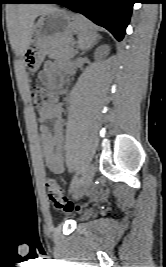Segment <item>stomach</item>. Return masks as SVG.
<instances>
[{
	"instance_id": "obj_1",
	"label": "stomach",
	"mask_w": 166,
	"mask_h": 267,
	"mask_svg": "<svg viewBox=\"0 0 166 267\" xmlns=\"http://www.w3.org/2000/svg\"><path fill=\"white\" fill-rule=\"evenodd\" d=\"M81 20V16L61 9L39 18L34 26L30 45L24 53L25 64L31 73L39 69L55 41L66 39L79 31Z\"/></svg>"
}]
</instances>
